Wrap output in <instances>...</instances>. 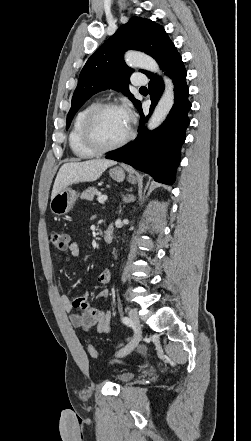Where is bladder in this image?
Segmentation results:
<instances>
[{"label":"bladder","instance_id":"1","mask_svg":"<svg viewBox=\"0 0 251 441\" xmlns=\"http://www.w3.org/2000/svg\"><path fill=\"white\" fill-rule=\"evenodd\" d=\"M134 372L126 371L115 375V381L118 383H127L135 377Z\"/></svg>","mask_w":251,"mask_h":441}]
</instances>
